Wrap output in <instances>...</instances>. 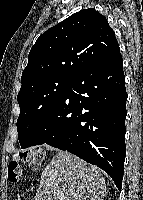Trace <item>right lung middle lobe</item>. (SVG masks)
I'll use <instances>...</instances> for the list:
<instances>
[{"mask_svg":"<svg viewBox=\"0 0 143 200\" xmlns=\"http://www.w3.org/2000/svg\"><path fill=\"white\" fill-rule=\"evenodd\" d=\"M71 80L67 77H51L20 89L17 97L20 106L17 130L22 149L26 148L41 120L61 99Z\"/></svg>","mask_w":143,"mask_h":200,"instance_id":"right-lung-middle-lobe-1","label":"right lung middle lobe"}]
</instances>
